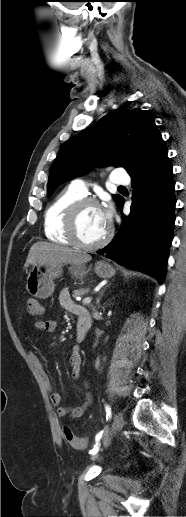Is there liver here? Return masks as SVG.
<instances>
[{
    "mask_svg": "<svg viewBox=\"0 0 186 517\" xmlns=\"http://www.w3.org/2000/svg\"><path fill=\"white\" fill-rule=\"evenodd\" d=\"M92 257L82 251L50 244L47 242H36L30 248L24 268L29 265H57V264H84Z\"/></svg>",
    "mask_w": 186,
    "mask_h": 517,
    "instance_id": "liver-1",
    "label": "liver"
}]
</instances>
